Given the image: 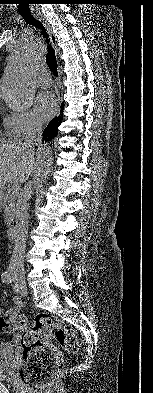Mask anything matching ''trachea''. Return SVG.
<instances>
[{"label": "trachea", "mask_w": 153, "mask_h": 393, "mask_svg": "<svg viewBox=\"0 0 153 393\" xmlns=\"http://www.w3.org/2000/svg\"><path fill=\"white\" fill-rule=\"evenodd\" d=\"M21 16L23 17V19L25 20V22L27 24L35 26L37 29H39L41 31V34L43 35V38H45V41L47 43L46 63L48 65L50 71L55 76H58V70H57L58 64H57V59H56V55H55V50L51 46V44H49L50 39L48 38V34H47L46 29L44 28L43 24L39 20L35 19L31 15V13L21 14Z\"/></svg>", "instance_id": "trachea-1"}]
</instances>
